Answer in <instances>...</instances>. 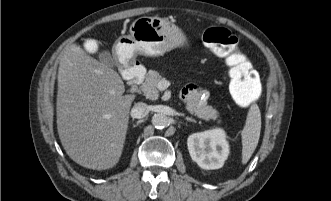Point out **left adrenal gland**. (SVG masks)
Listing matches in <instances>:
<instances>
[{
  "label": "left adrenal gland",
  "instance_id": "left-adrenal-gland-1",
  "mask_svg": "<svg viewBox=\"0 0 331 201\" xmlns=\"http://www.w3.org/2000/svg\"><path fill=\"white\" fill-rule=\"evenodd\" d=\"M185 120L196 123V121L190 117H186Z\"/></svg>",
  "mask_w": 331,
  "mask_h": 201
}]
</instances>
